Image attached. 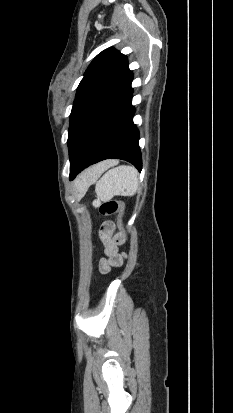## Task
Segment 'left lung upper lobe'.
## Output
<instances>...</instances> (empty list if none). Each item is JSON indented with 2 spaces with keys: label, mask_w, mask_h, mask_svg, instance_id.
Masks as SVG:
<instances>
[{
  "label": "left lung upper lobe",
  "mask_w": 233,
  "mask_h": 413,
  "mask_svg": "<svg viewBox=\"0 0 233 413\" xmlns=\"http://www.w3.org/2000/svg\"><path fill=\"white\" fill-rule=\"evenodd\" d=\"M130 73L127 57L114 48L102 51L91 62L77 88L70 115V161L91 121L118 92Z\"/></svg>",
  "instance_id": "5c2ea615"
}]
</instances>
